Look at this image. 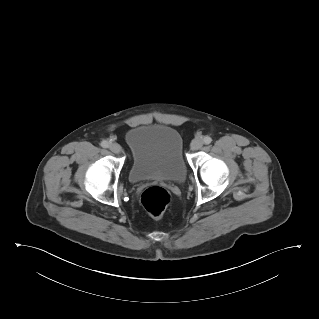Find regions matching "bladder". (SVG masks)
<instances>
[{"mask_svg":"<svg viewBox=\"0 0 319 319\" xmlns=\"http://www.w3.org/2000/svg\"><path fill=\"white\" fill-rule=\"evenodd\" d=\"M125 143L131 153L128 177L137 184L150 179L181 183L187 176L183 140L174 128L142 125L129 130Z\"/></svg>","mask_w":319,"mask_h":319,"instance_id":"1","label":"bladder"}]
</instances>
